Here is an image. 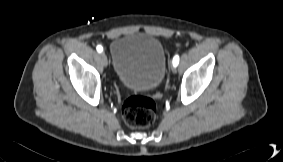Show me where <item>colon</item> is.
Returning a JSON list of instances; mask_svg holds the SVG:
<instances>
[{
    "label": "colon",
    "mask_w": 283,
    "mask_h": 162,
    "mask_svg": "<svg viewBox=\"0 0 283 162\" xmlns=\"http://www.w3.org/2000/svg\"><path fill=\"white\" fill-rule=\"evenodd\" d=\"M155 95H134L125 100L122 106L124 122L133 128H147L156 119L157 104Z\"/></svg>",
    "instance_id": "1"
}]
</instances>
